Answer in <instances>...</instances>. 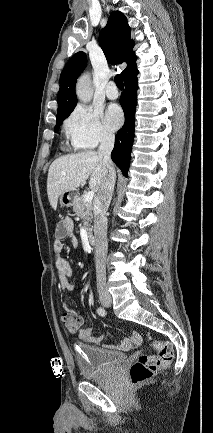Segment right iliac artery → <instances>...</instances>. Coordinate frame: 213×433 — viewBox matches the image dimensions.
I'll return each instance as SVG.
<instances>
[{
	"instance_id": "right-iliac-artery-1",
	"label": "right iliac artery",
	"mask_w": 213,
	"mask_h": 433,
	"mask_svg": "<svg viewBox=\"0 0 213 433\" xmlns=\"http://www.w3.org/2000/svg\"><path fill=\"white\" fill-rule=\"evenodd\" d=\"M97 313H98L100 316H105V315H106V311H105V309L102 308V307L97 308Z\"/></svg>"
}]
</instances>
